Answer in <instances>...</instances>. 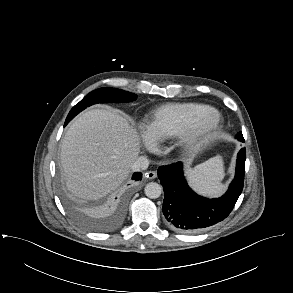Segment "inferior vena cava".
<instances>
[{"label":"inferior vena cava","mask_w":293,"mask_h":293,"mask_svg":"<svg viewBox=\"0 0 293 293\" xmlns=\"http://www.w3.org/2000/svg\"><path fill=\"white\" fill-rule=\"evenodd\" d=\"M149 166V160L145 156L138 157L131 165V170L134 172L145 170Z\"/></svg>","instance_id":"1"}]
</instances>
